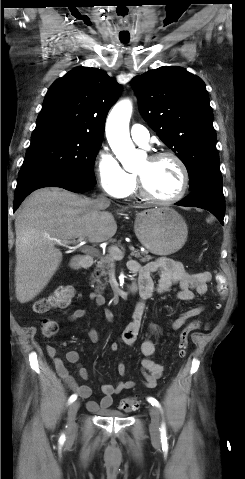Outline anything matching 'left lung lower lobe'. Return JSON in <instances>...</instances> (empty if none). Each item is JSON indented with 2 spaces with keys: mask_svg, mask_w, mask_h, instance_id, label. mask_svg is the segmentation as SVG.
<instances>
[{
  "mask_svg": "<svg viewBox=\"0 0 245 479\" xmlns=\"http://www.w3.org/2000/svg\"><path fill=\"white\" fill-rule=\"evenodd\" d=\"M176 205L206 209L216 216L221 224H224L225 199L222 190L221 174L201 181L188 197L179 201Z\"/></svg>",
  "mask_w": 245,
  "mask_h": 479,
  "instance_id": "obj_1",
  "label": "left lung lower lobe"
}]
</instances>
